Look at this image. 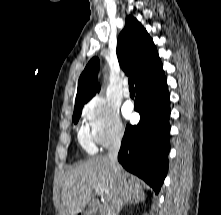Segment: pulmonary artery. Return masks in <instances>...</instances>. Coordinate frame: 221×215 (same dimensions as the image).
<instances>
[{"mask_svg":"<svg viewBox=\"0 0 221 215\" xmlns=\"http://www.w3.org/2000/svg\"><path fill=\"white\" fill-rule=\"evenodd\" d=\"M123 95H124V97H129L130 96V91H129L127 86H125L123 88Z\"/></svg>","mask_w":221,"mask_h":215,"instance_id":"obj_1","label":"pulmonary artery"}]
</instances>
